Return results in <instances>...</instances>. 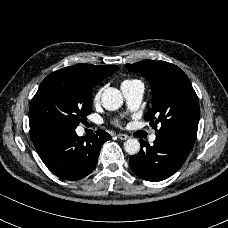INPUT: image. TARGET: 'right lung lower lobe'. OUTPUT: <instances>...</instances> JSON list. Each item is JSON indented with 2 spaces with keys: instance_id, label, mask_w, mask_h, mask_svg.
<instances>
[{
  "instance_id": "obj_1",
  "label": "right lung lower lobe",
  "mask_w": 228,
  "mask_h": 228,
  "mask_svg": "<svg viewBox=\"0 0 228 228\" xmlns=\"http://www.w3.org/2000/svg\"><path fill=\"white\" fill-rule=\"evenodd\" d=\"M76 128L52 126L31 132L38 155L56 176L79 180L95 168L101 146L111 138L98 130L90 137H79Z\"/></svg>"
}]
</instances>
